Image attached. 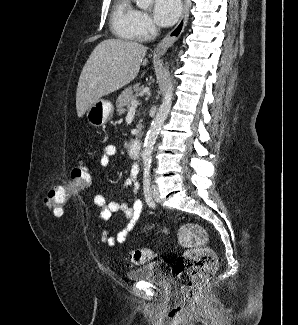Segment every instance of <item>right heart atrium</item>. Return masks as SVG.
Segmentation results:
<instances>
[{"mask_svg":"<svg viewBox=\"0 0 298 325\" xmlns=\"http://www.w3.org/2000/svg\"><path fill=\"white\" fill-rule=\"evenodd\" d=\"M156 32L151 17L145 11H139L137 25H133L131 36L133 41H152Z\"/></svg>","mask_w":298,"mask_h":325,"instance_id":"obj_1","label":"right heart atrium"}]
</instances>
